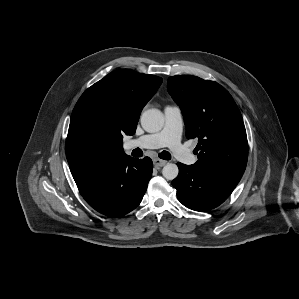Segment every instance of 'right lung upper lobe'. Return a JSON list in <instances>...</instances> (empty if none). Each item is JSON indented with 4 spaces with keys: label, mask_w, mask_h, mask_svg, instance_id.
<instances>
[{
    "label": "right lung upper lobe",
    "mask_w": 299,
    "mask_h": 299,
    "mask_svg": "<svg viewBox=\"0 0 299 299\" xmlns=\"http://www.w3.org/2000/svg\"><path fill=\"white\" fill-rule=\"evenodd\" d=\"M161 83L160 77L120 69L111 72L82 94L74 109L88 104L99 105L109 112L116 125L117 140L103 159L125 154L122 147L123 135L135 133L143 107Z\"/></svg>",
    "instance_id": "cb5924a9"
}]
</instances>
